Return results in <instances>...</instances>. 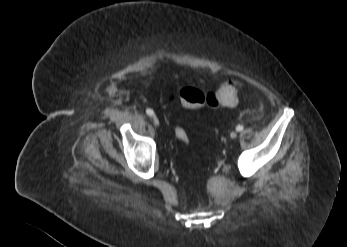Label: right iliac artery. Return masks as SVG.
Returning a JSON list of instances; mask_svg holds the SVG:
<instances>
[{
  "mask_svg": "<svg viewBox=\"0 0 347 247\" xmlns=\"http://www.w3.org/2000/svg\"><path fill=\"white\" fill-rule=\"evenodd\" d=\"M146 113H147L149 116L154 115L153 110H152V109H149V108L146 110Z\"/></svg>",
  "mask_w": 347,
  "mask_h": 247,
  "instance_id": "1",
  "label": "right iliac artery"
}]
</instances>
